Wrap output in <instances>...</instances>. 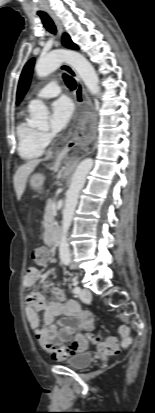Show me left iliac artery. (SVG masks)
I'll list each match as a JSON object with an SVG mask.
<instances>
[{"instance_id":"1","label":"left iliac artery","mask_w":155,"mask_h":413,"mask_svg":"<svg viewBox=\"0 0 155 413\" xmlns=\"http://www.w3.org/2000/svg\"><path fill=\"white\" fill-rule=\"evenodd\" d=\"M80 291H81V289H80L79 286H76V287L73 289V292H74L75 294H77V295L80 293Z\"/></svg>"}]
</instances>
